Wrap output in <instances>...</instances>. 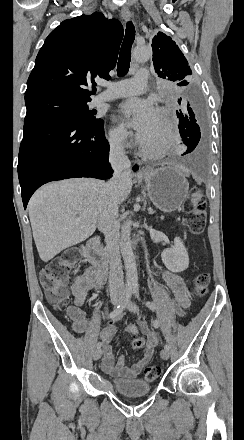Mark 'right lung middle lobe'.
Here are the masks:
<instances>
[{"mask_svg": "<svg viewBox=\"0 0 244 440\" xmlns=\"http://www.w3.org/2000/svg\"><path fill=\"white\" fill-rule=\"evenodd\" d=\"M91 98H74L59 95H43L25 99L27 112L42 111L63 116L74 122L91 125L98 119L87 103Z\"/></svg>", "mask_w": 244, "mask_h": 440, "instance_id": "obj_1", "label": "right lung middle lobe"}]
</instances>
